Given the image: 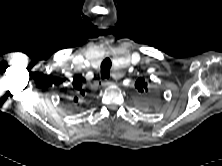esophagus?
Masks as SVG:
<instances>
[{
    "instance_id": "esophagus-1",
    "label": "esophagus",
    "mask_w": 222,
    "mask_h": 166,
    "mask_svg": "<svg viewBox=\"0 0 222 166\" xmlns=\"http://www.w3.org/2000/svg\"><path fill=\"white\" fill-rule=\"evenodd\" d=\"M111 84H112V82H110V81H102V86L103 87H107V86H109Z\"/></svg>"
}]
</instances>
